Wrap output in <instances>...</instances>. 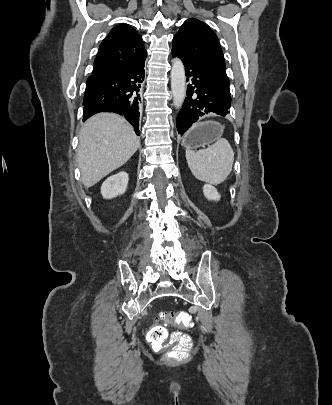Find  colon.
Listing matches in <instances>:
<instances>
[{
    "label": "colon",
    "mask_w": 332,
    "mask_h": 405,
    "mask_svg": "<svg viewBox=\"0 0 332 405\" xmlns=\"http://www.w3.org/2000/svg\"><path fill=\"white\" fill-rule=\"evenodd\" d=\"M162 317L174 320L177 325L183 328H190L192 326V317L185 311L163 312ZM157 320L159 321L160 319L158 318ZM148 339L156 347L163 346L168 340L169 343H174L173 356L177 359L186 357L193 346L189 335L174 332L169 336L167 330L161 326L153 327L148 332Z\"/></svg>",
    "instance_id": "5ec220e1"
}]
</instances>
